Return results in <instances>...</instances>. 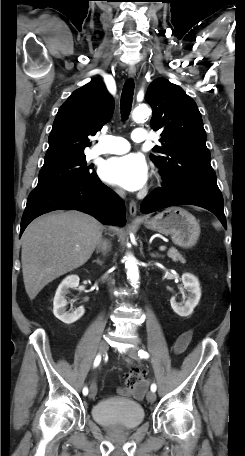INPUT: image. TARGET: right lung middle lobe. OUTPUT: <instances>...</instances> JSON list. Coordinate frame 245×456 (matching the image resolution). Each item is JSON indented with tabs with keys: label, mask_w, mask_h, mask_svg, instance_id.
Returning a JSON list of instances; mask_svg holds the SVG:
<instances>
[{
	"label": "right lung middle lobe",
	"mask_w": 245,
	"mask_h": 456,
	"mask_svg": "<svg viewBox=\"0 0 245 456\" xmlns=\"http://www.w3.org/2000/svg\"><path fill=\"white\" fill-rule=\"evenodd\" d=\"M90 169L86 163V156L42 167L36 188L88 181L97 176Z\"/></svg>",
	"instance_id": "dd1d6c3e"
}]
</instances>
